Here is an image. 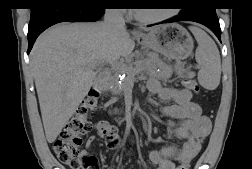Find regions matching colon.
Listing matches in <instances>:
<instances>
[{
	"mask_svg": "<svg viewBox=\"0 0 252 169\" xmlns=\"http://www.w3.org/2000/svg\"><path fill=\"white\" fill-rule=\"evenodd\" d=\"M182 84L188 90L198 92L199 86L190 77H184ZM98 91L91 89L81 105L61 131L54 142V152L58 160L71 169H93L96 158L81 150L84 136L91 130L90 116L94 113L98 103ZM106 141L109 147H116L119 143V135L114 126L106 129ZM188 162H184L177 169H189Z\"/></svg>",
	"mask_w": 252,
	"mask_h": 169,
	"instance_id": "5ec220e1",
	"label": "colon"
}]
</instances>
